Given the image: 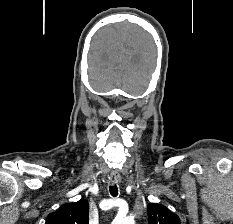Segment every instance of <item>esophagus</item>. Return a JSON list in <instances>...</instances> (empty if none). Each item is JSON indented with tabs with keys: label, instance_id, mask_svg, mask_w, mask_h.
Here are the masks:
<instances>
[{
	"label": "esophagus",
	"instance_id": "1",
	"mask_svg": "<svg viewBox=\"0 0 233 224\" xmlns=\"http://www.w3.org/2000/svg\"><path fill=\"white\" fill-rule=\"evenodd\" d=\"M110 183H111L112 185L117 184V183H120V176H119L118 173H116V172H112V173H111V176H110Z\"/></svg>",
	"mask_w": 233,
	"mask_h": 224
}]
</instances>
